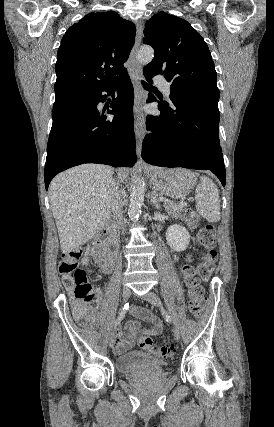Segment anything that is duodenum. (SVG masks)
Here are the masks:
<instances>
[{
    "label": "duodenum",
    "instance_id": "410a0bca",
    "mask_svg": "<svg viewBox=\"0 0 274 427\" xmlns=\"http://www.w3.org/2000/svg\"><path fill=\"white\" fill-rule=\"evenodd\" d=\"M105 232L112 239H115V223L114 220H109L105 224Z\"/></svg>",
    "mask_w": 274,
    "mask_h": 427
}]
</instances>
